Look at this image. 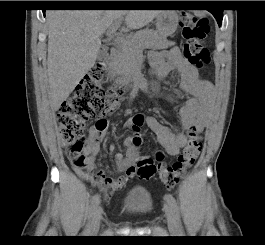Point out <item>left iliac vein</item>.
Segmentation results:
<instances>
[{
  "mask_svg": "<svg viewBox=\"0 0 265 245\" xmlns=\"http://www.w3.org/2000/svg\"><path fill=\"white\" fill-rule=\"evenodd\" d=\"M164 211L166 213L169 231L170 233L175 234L177 232V221H176L175 214L172 208L170 207V205L168 204L164 205Z\"/></svg>",
  "mask_w": 265,
  "mask_h": 245,
  "instance_id": "4c4485c4",
  "label": "left iliac vein"
}]
</instances>
